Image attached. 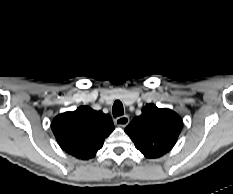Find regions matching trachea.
<instances>
[{"mask_svg":"<svg viewBox=\"0 0 233 194\" xmlns=\"http://www.w3.org/2000/svg\"><path fill=\"white\" fill-rule=\"evenodd\" d=\"M112 113L114 117L122 116L124 114L123 105L119 100H116L113 104Z\"/></svg>","mask_w":233,"mask_h":194,"instance_id":"trachea-1","label":"trachea"}]
</instances>
